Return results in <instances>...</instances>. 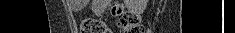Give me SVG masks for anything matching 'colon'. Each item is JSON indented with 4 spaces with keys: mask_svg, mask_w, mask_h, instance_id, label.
Returning <instances> with one entry per match:
<instances>
[{
    "mask_svg": "<svg viewBox=\"0 0 235 33\" xmlns=\"http://www.w3.org/2000/svg\"><path fill=\"white\" fill-rule=\"evenodd\" d=\"M112 14L117 18V24L122 33H143L140 19L135 14L126 11L120 4H115ZM81 33H112L111 29L101 20L95 18H83L79 24Z\"/></svg>",
    "mask_w": 235,
    "mask_h": 33,
    "instance_id": "colon-1",
    "label": "colon"
}]
</instances>
